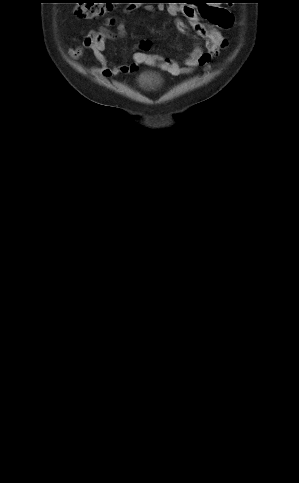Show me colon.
Here are the masks:
<instances>
[{"label":"colon","instance_id":"5ec220e1","mask_svg":"<svg viewBox=\"0 0 299 483\" xmlns=\"http://www.w3.org/2000/svg\"><path fill=\"white\" fill-rule=\"evenodd\" d=\"M78 6L74 13L77 17L82 19H97L109 12L110 7L114 3L112 0H80L77 2ZM208 2L200 4L203 9Z\"/></svg>","mask_w":299,"mask_h":483}]
</instances>
